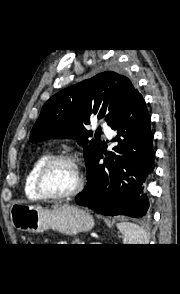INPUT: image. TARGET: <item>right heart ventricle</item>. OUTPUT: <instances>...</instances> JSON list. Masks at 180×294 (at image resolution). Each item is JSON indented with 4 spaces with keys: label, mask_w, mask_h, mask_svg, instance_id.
Listing matches in <instances>:
<instances>
[{
    "label": "right heart ventricle",
    "mask_w": 180,
    "mask_h": 294,
    "mask_svg": "<svg viewBox=\"0 0 180 294\" xmlns=\"http://www.w3.org/2000/svg\"><path fill=\"white\" fill-rule=\"evenodd\" d=\"M50 157L49 153H44L36 158L30 170L28 171L24 181V192L28 197L41 199L35 189V176L40 166Z\"/></svg>",
    "instance_id": "right-heart-ventricle-1"
}]
</instances>
